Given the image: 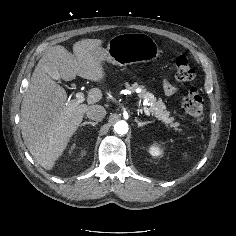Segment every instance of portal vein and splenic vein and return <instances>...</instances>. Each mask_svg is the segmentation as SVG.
<instances>
[{
  "label": "portal vein and splenic vein",
  "mask_w": 236,
  "mask_h": 236,
  "mask_svg": "<svg viewBox=\"0 0 236 236\" xmlns=\"http://www.w3.org/2000/svg\"><path fill=\"white\" fill-rule=\"evenodd\" d=\"M85 101V95L82 92L76 93V99L72 100V105H78L80 103H83ZM144 112L145 114L149 117L150 116V111L147 107H144Z\"/></svg>",
  "instance_id": "obj_1"
}]
</instances>
